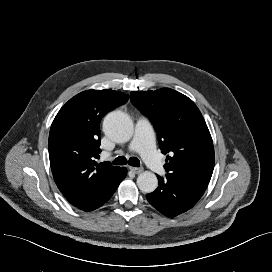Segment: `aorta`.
<instances>
[{
	"label": "aorta",
	"mask_w": 272,
	"mask_h": 272,
	"mask_svg": "<svg viewBox=\"0 0 272 272\" xmlns=\"http://www.w3.org/2000/svg\"><path fill=\"white\" fill-rule=\"evenodd\" d=\"M105 134L115 142H127L133 135V123L130 117L121 111H113L106 115L103 122ZM138 188L144 193L155 191L158 186L156 175L150 171L141 173L137 178Z\"/></svg>",
	"instance_id": "obj_1"
}]
</instances>
